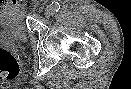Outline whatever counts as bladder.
<instances>
[{"instance_id":"bladder-1","label":"bladder","mask_w":131,"mask_h":89,"mask_svg":"<svg viewBox=\"0 0 131 89\" xmlns=\"http://www.w3.org/2000/svg\"><path fill=\"white\" fill-rule=\"evenodd\" d=\"M28 35L25 17L15 8L0 11V43H21Z\"/></svg>"}]
</instances>
